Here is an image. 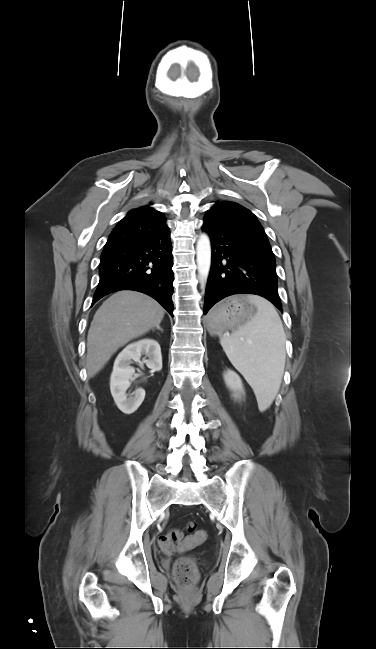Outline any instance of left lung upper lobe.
Returning a JSON list of instances; mask_svg holds the SVG:
<instances>
[{
    "label": "left lung upper lobe",
    "mask_w": 376,
    "mask_h": 649,
    "mask_svg": "<svg viewBox=\"0 0 376 649\" xmlns=\"http://www.w3.org/2000/svg\"><path fill=\"white\" fill-rule=\"evenodd\" d=\"M206 215L236 226L268 242L265 231L255 215L237 203L229 201L218 202L208 210Z\"/></svg>",
    "instance_id": "5c2ea615"
}]
</instances>
